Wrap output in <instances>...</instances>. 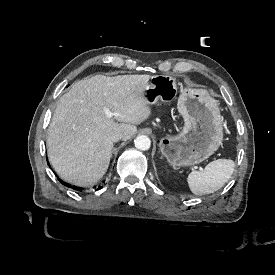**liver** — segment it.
<instances>
[{"mask_svg": "<svg viewBox=\"0 0 275 275\" xmlns=\"http://www.w3.org/2000/svg\"><path fill=\"white\" fill-rule=\"evenodd\" d=\"M150 75H98L75 83L58 101L51 121L47 148L50 162L66 181L79 186L96 183L106 173L113 142L119 131L131 139L153 115L143 93ZM120 113V117L108 114ZM122 123H118V122Z\"/></svg>", "mask_w": 275, "mask_h": 275, "instance_id": "6515ba94", "label": "liver"}]
</instances>
